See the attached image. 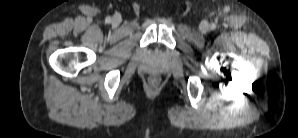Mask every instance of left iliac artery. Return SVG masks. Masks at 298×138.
Listing matches in <instances>:
<instances>
[{"label": "left iliac artery", "instance_id": "1", "mask_svg": "<svg viewBox=\"0 0 298 138\" xmlns=\"http://www.w3.org/2000/svg\"><path fill=\"white\" fill-rule=\"evenodd\" d=\"M210 28H211L212 30H214V29L216 28V25H215V24H211Z\"/></svg>", "mask_w": 298, "mask_h": 138}]
</instances>
